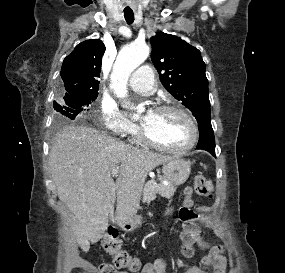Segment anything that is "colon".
<instances>
[{"label":"colon","instance_id":"5ec220e1","mask_svg":"<svg viewBox=\"0 0 285 273\" xmlns=\"http://www.w3.org/2000/svg\"><path fill=\"white\" fill-rule=\"evenodd\" d=\"M194 191L200 196L212 197L211 186L203 176L195 177ZM186 193L187 196H183V207L178 208V213L184 228L181 233L182 253L185 257H192L194 245L197 243L201 228L198 223H195L199 216L194 208V199L190 196L192 189L188 188ZM103 247L112 256L113 264H102L100 266L101 273H118L120 269L128 271H137L139 269V261L132 257L128 250L123 248L118 232L115 229L108 230L103 241Z\"/></svg>","mask_w":285,"mask_h":273}]
</instances>
